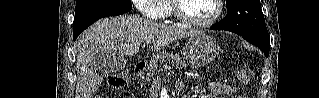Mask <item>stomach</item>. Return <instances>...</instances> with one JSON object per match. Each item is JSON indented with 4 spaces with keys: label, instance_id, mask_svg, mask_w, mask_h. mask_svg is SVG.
Returning <instances> with one entry per match:
<instances>
[{
    "label": "stomach",
    "instance_id": "1",
    "mask_svg": "<svg viewBox=\"0 0 319 98\" xmlns=\"http://www.w3.org/2000/svg\"><path fill=\"white\" fill-rule=\"evenodd\" d=\"M219 50L218 42L203 33L191 35L185 48V57L195 67L210 63Z\"/></svg>",
    "mask_w": 319,
    "mask_h": 98
}]
</instances>
